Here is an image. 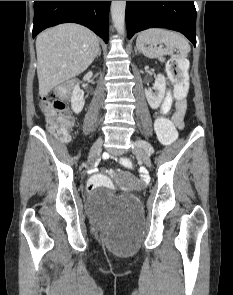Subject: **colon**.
Here are the masks:
<instances>
[{"label":"colon","mask_w":233,"mask_h":295,"mask_svg":"<svg viewBox=\"0 0 233 295\" xmlns=\"http://www.w3.org/2000/svg\"><path fill=\"white\" fill-rule=\"evenodd\" d=\"M188 62L182 56H173L167 63V71L175 86V96L178 100L186 97L189 89ZM75 87V82H66L49 93L42 100V109L47 116L48 125L60 142H67L73 130V119L64 103V99L70 95ZM155 130L159 141L164 145H172L177 140L176 128L172 121L167 118H158L155 122ZM120 163L125 168H132V161L123 157ZM89 190L104 188L113 189L112 181L105 175L95 173L90 176L87 182Z\"/></svg>","instance_id":"5ec220e1"}]
</instances>
